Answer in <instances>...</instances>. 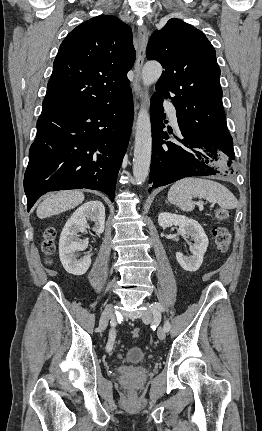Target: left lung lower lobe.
Segmentation results:
<instances>
[{
  "label": "left lung lower lobe",
  "mask_w": 262,
  "mask_h": 431,
  "mask_svg": "<svg viewBox=\"0 0 262 431\" xmlns=\"http://www.w3.org/2000/svg\"><path fill=\"white\" fill-rule=\"evenodd\" d=\"M162 98L153 94L150 117L152 126V159L149 183L157 188L185 177L232 174L235 159L233 140L230 134L219 139H205L181 130L175 141L169 138L165 127ZM171 133V132H169Z\"/></svg>",
  "instance_id": "obj_1"
}]
</instances>
